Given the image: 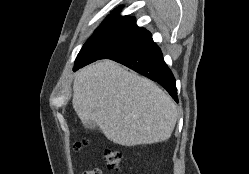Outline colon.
Segmentation results:
<instances>
[{"instance_id": "colon-1", "label": "colon", "mask_w": 249, "mask_h": 174, "mask_svg": "<svg viewBox=\"0 0 249 174\" xmlns=\"http://www.w3.org/2000/svg\"><path fill=\"white\" fill-rule=\"evenodd\" d=\"M87 140H83L76 144V148L80 149L87 145ZM103 160L106 167L110 170L118 171L123 160L122 153L119 150L108 149L103 154Z\"/></svg>"}]
</instances>
